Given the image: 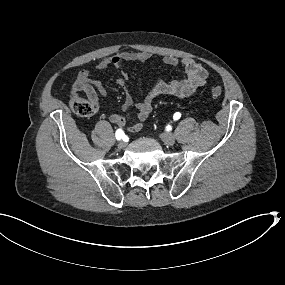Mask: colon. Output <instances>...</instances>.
Listing matches in <instances>:
<instances>
[{"label": "colon", "instance_id": "colon-1", "mask_svg": "<svg viewBox=\"0 0 285 285\" xmlns=\"http://www.w3.org/2000/svg\"><path fill=\"white\" fill-rule=\"evenodd\" d=\"M211 94L214 98L220 97L222 95V88L220 86H213ZM70 107L76 115L85 118L94 116L98 111L97 107L91 101L80 96L71 99Z\"/></svg>", "mask_w": 285, "mask_h": 285}]
</instances>
